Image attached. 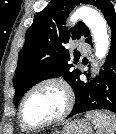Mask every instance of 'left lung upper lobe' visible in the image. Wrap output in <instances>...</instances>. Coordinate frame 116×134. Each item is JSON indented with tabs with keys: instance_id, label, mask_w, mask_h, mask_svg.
Masks as SVG:
<instances>
[{
	"instance_id": "1",
	"label": "left lung upper lobe",
	"mask_w": 116,
	"mask_h": 134,
	"mask_svg": "<svg viewBox=\"0 0 116 134\" xmlns=\"http://www.w3.org/2000/svg\"><path fill=\"white\" fill-rule=\"evenodd\" d=\"M81 3L96 6L104 16L113 8L110 0H52L36 15L26 32L13 77L16 107L26 91L43 80L62 76L73 87L81 72L72 69L69 51L63 44L80 38L90 43L91 36L83 22L70 30L63 25L72 9Z\"/></svg>"
}]
</instances>
